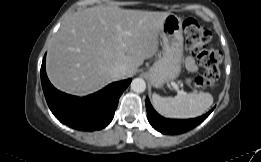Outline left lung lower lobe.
<instances>
[{
	"label": "left lung lower lobe",
	"mask_w": 261,
	"mask_h": 162,
	"mask_svg": "<svg viewBox=\"0 0 261 162\" xmlns=\"http://www.w3.org/2000/svg\"><path fill=\"white\" fill-rule=\"evenodd\" d=\"M146 109L148 113V120L151 126L157 131L163 134H181L187 132L201 122H203L209 114L212 112L210 110L208 113L200 116L198 118L187 119V120H176V119H166L160 116L152 107L149 99H146Z\"/></svg>",
	"instance_id": "1"
}]
</instances>
